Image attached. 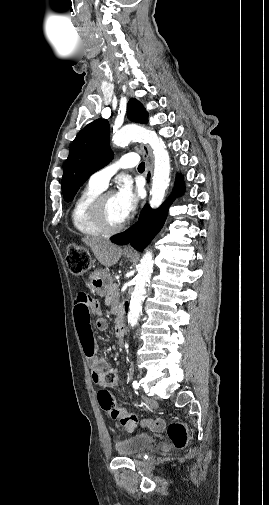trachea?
I'll return each instance as SVG.
<instances>
[{"instance_id":"1","label":"trachea","mask_w":269,"mask_h":505,"mask_svg":"<svg viewBox=\"0 0 269 505\" xmlns=\"http://www.w3.org/2000/svg\"><path fill=\"white\" fill-rule=\"evenodd\" d=\"M145 169V163H140L139 166H138V170L139 171H143Z\"/></svg>"}]
</instances>
